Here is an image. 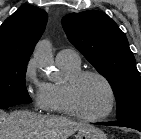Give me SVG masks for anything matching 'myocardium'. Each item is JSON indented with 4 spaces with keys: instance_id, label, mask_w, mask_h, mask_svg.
<instances>
[{
    "instance_id": "1",
    "label": "myocardium",
    "mask_w": 141,
    "mask_h": 139,
    "mask_svg": "<svg viewBox=\"0 0 141 139\" xmlns=\"http://www.w3.org/2000/svg\"><path fill=\"white\" fill-rule=\"evenodd\" d=\"M88 76H94L102 80L104 84L106 85V87L108 88V91L110 94L109 107L105 113L99 116H88L82 113L76 105V101H75L76 86L83 78ZM63 100H64V105L68 114L85 121L97 122V121H103L107 119L114 111L116 106V93L110 80L101 72H98L96 70H80L72 74L65 80L63 84Z\"/></svg>"
}]
</instances>
